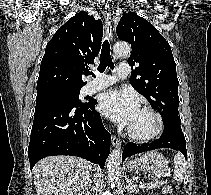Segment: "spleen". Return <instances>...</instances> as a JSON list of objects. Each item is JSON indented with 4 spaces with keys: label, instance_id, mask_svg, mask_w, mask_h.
<instances>
[{
    "label": "spleen",
    "instance_id": "obj_1",
    "mask_svg": "<svg viewBox=\"0 0 211 195\" xmlns=\"http://www.w3.org/2000/svg\"><path fill=\"white\" fill-rule=\"evenodd\" d=\"M174 178L177 181H182L186 172V161L182 154L177 153L174 157Z\"/></svg>",
    "mask_w": 211,
    "mask_h": 195
}]
</instances>
